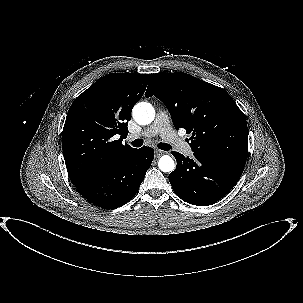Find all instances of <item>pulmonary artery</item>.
I'll return each mask as SVG.
<instances>
[{"label":"pulmonary artery","instance_id":"pulmonary-artery-1","mask_svg":"<svg viewBox=\"0 0 303 303\" xmlns=\"http://www.w3.org/2000/svg\"><path fill=\"white\" fill-rule=\"evenodd\" d=\"M157 134H159L168 144H170L172 147H174L182 154L184 155L192 154L193 152L192 148L188 144L183 142L179 138V136L173 131L169 123V117L163 111L157 113L154 122L142 133V136L150 138ZM136 138L137 136L134 134L128 136L129 140H134Z\"/></svg>","mask_w":303,"mask_h":303}]
</instances>
